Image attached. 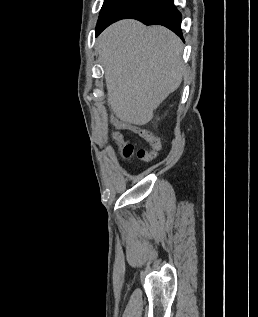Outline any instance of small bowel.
<instances>
[{
  "label": "small bowel",
  "instance_id": "obj_1",
  "mask_svg": "<svg viewBox=\"0 0 258 317\" xmlns=\"http://www.w3.org/2000/svg\"><path fill=\"white\" fill-rule=\"evenodd\" d=\"M118 125L122 128L129 129L138 133L152 147V149L155 152L161 149L162 147L161 140L150 131L141 129L133 125L124 124V123H118Z\"/></svg>",
  "mask_w": 258,
  "mask_h": 317
}]
</instances>
